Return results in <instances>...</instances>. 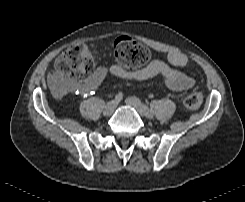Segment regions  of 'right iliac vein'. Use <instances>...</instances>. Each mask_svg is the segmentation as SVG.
<instances>
[{
    "label": "right iliac vein",
    "mask_w": 245,
    "mask_h": 202,
    "mask_svg": "<svg viewBox=\"0 0 245 202\" xmlns=\"http://www.w3.org/2000/svg\"><path fill=\"white\" fill-rule=\"evenodd\" d=\"M116 107H117V102L115 100L109 101L103 109V115L104 116L111 115Z\"/></svg>",
    "instance_id": "1"
}]
</instances>
